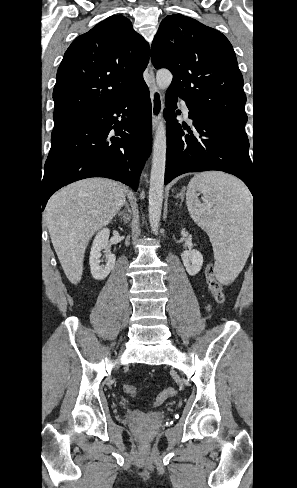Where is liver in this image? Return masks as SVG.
<instances>
[{
  "instance_id": "obj_1",
  "label": "liver",
  "mask_w": 297,
  "mask_h": 488,
  "mask_svg": "<svg viewBox=\"0 0 297 488\" xmlns=\"http://www.w3.org/2000/svg\"><path fill=\"white\" fill-rule=\"evenodd\" d=\"M124 203L122 186L103 178L75 182L49 199L45 209L48 230L71 283L81 280L89 240L113 219Z\"/></svg>"
}]
</instances>
